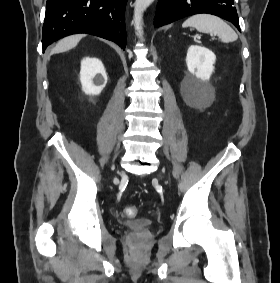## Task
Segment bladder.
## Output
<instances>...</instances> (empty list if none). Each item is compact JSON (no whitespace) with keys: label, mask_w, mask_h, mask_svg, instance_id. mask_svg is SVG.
<instances>
[{"label":"bladder","mask_w":280,"mask_h":283,"mask_svg":"<svg viewBox=\"0 0 280 283\" xmlns=\"http://www.w3.org/2000/svg\"><path fill=\"white\" fill-rule=\"evenodd\" d=\"M123 226L135 233H143L152 227V221L148 218H140L135 220L126 221Z\"/></svg>","instance_id":"1"}]
</instances>
